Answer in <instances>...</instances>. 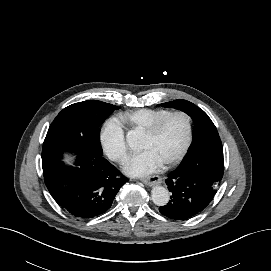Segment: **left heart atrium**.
Here are the masks:
<instances>
[{
  "label": "left heart atrium",
  "instance_id": "1",
  "mask_svg": "<svg viewBox=\"0 0 271 271\" xmlns=\"http://www.w3.org/2000/svg\"><path fill=\"white\" fill-rule=\"evenodd\" d=\"M161 162L147 150L135 154L126 166V171L133 176H145L157 171Z\"/></svg>",
  "mask_w": 271,
  "mask_h": 271
}]
</instances>
